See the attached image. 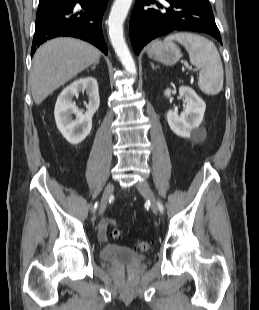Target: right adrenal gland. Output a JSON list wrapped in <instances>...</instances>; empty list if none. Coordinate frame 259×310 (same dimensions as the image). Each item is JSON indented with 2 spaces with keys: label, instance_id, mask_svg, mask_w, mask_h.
Returning <instances> with one entry per match:
<instances>
[{
  "label": "right adrenal gland",
  "instance_id": "1",
  "mask_svg": "<svg viewBox=\"0 0 259 310\" xmlns=\"http://www.w3.org/2000/svg\"><path fill=\"white\" fill-rule=\"evenodd\" d=\"M98 63H99V62L95 63V64L91 67V70H92V71L95 70L96 65H97Z\"/></svg>",
  "mask_w": 259,
  "mask_h": 310
}]
</instances>
